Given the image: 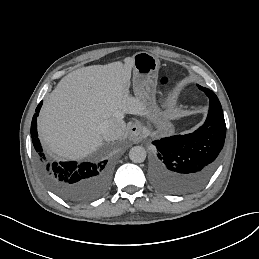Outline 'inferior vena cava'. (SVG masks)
Listing matches in <instances>:
<instances>
[{
    "instance_id": "inferior-vena-cava-1",
    "label": "inferior vena cava",
    "mask_w": 259,
    "mask_h": 259,
    "mask_svg": "<svg viewBox=\"0 0 259 259\" xmlns=\"http://www.w3.org/2000/svg\"><path fill=\"white\" fill-rule=\"evenodd\" d=\"M126 129V124L121 118H111L99 125V132L106 140L120 139Z\"/></svg>"
}]
</instances>
